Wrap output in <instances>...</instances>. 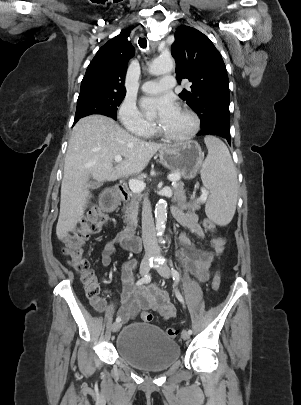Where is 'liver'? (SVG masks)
I'll use <instances>...</instances> for the list:
<instances>
[{
  "label": "liver",
  "instance_id": "6515ba94",
  "mask_svg": "<svg viewBox=\"0 0 301 405\" xmlns=\"http://www.w3.org/2000/svg\"><path fill=\"white\" fill-rule=\"evenodd\" d=\"M167 146L143 141L106 116L80 119L72 130L65 156L58 238L66 237L82 220L90 196V178L105 182L137 175L158 150ZM116 155L124 160L113 167Z\"/></svg>",
  "mask_w": 301,
  "mask_h": 405
}]
</instances>
